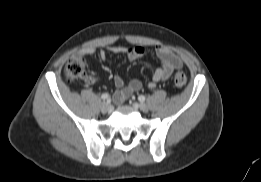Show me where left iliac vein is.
<instances>
[{
	"label": "left iliac vein",
	"instance_id": "4c4485c4",
	"mask_svg": "<svg viewBox=\"0 0 261 182\" xmlns=\"http://www.w3.org/2000/svg\"><path fill=\"white\" fill-rule=\"evenodd\" d=\"M133 107L136 109H140L143 112H148V110H149L148 106L144 103L134 102Z\"/></svg>",
	"mask_w": 261,
	"mask_h": 182
}]
</instances>
